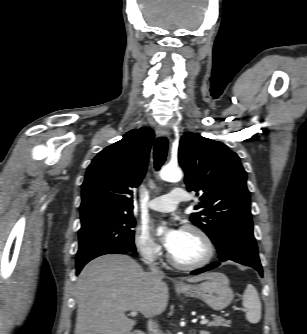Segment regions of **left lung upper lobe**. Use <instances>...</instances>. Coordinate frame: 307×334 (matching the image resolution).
I'll use <instances>...</instances> for the list:
<instances>
[{"instance_id": "left-lung-upper-lobe-1", "label": "left lung upper lobe", "mask_w": 307, "mask_h": 334, "mask_svg": "<svg viewBox=\"0 0 307 334\" xmlns=\"http://www.w3.org/2000/svg\"><path fill=\"white\" fill-rule=\"evenodd\" d=\"M179 164L185 172L188 191L201 195L190 220L219 249L233 231L253 232L247 174L236 153L225 144L194 133L179 142Z\"/></svg>"}]
</instances>
